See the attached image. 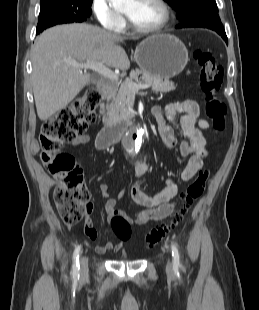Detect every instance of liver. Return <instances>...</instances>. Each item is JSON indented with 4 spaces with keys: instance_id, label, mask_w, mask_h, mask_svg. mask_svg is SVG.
I'll list each match as a JSON object with an SVG mask.
<instances>
[{
    "instance_id": "liver-1",
    "label": "liver",
    "mask_w": 259,
    "mask_h": 310,
    "mask_svg": "<svg viewBox=\"0 0 259 310\" xmlns=\"http://www.w3.org/2000/svg\"><path fill=\"white\" fill-rule=\"evenodd\" d=\"M123 37L89 24H64L44 31L31 53L32 86L37 115L45 121L64 109L90 83V74L71 61L102 62L127 70L130 61L118 45Z\"/></svg>"
}]
</instances>
